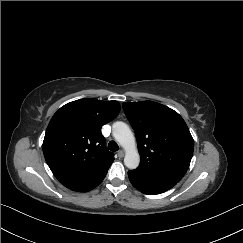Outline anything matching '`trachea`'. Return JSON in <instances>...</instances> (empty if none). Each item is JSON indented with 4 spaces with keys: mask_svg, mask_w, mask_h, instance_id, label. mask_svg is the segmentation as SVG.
Instances as JSON below:
<instances>
[{
    "mask_svg": "<svg viewBox=\"0 0 243 243\" xmlns=\"http://www.w3.org/2000/svg\"><path fill=\"white\" fill-rule=\"evenodd\" d=\"M108 148L109 150L116 152L119 150V146L117 145V143L115 141H110L108 144Z\"/></svg>",
    "mask_w": 243,
    "mask_h": 243,
    "instance_id": "trachea-1",
    "label": "trachea"
}]
</instances>
